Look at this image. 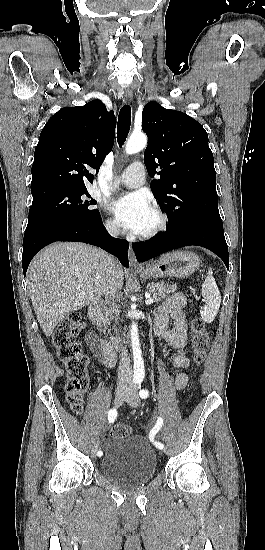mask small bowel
I'll use <instances>...</instances> for the list:
<instances>
[{"label": "small bowel", "instance_id": "small-bowel-1", "mask_svg": "<svg viewBox=\"0 0 265 550\" xmlns=\"http://www.w3.org/2000/svg\"><path fill=\"white\" fill-rule=\"evenodd\" d=\"M185 304V297L181 293H175L154 310V334L176 350L172 363L177 369H186L190 363L188 356L184 353V349L188 343L187 320L183 312ZM170 319L174 322L172 328L169 327ZM86 344L96 354L102 365L107 368L114 366L116 361L115 352L111 349L101 348L92 333L87 334ZM174 384L178 390L184 389L188 384L187 373L180 371L175 378Z\"/></svg>", "mask_w": 265, "mask_h": 550}]
</instances>
